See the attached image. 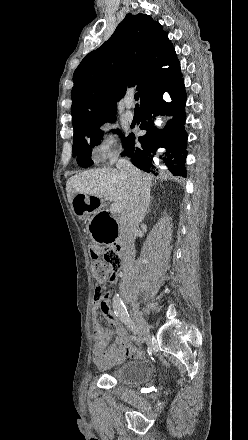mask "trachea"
Masks as SVG:
<instances>
[{
  "mask_svg": "<svg viewBox=\"0 0 248 440\" xmlns=\"http://www.w3.org/2000/svg\"><path fill=\"white\" fill-rule=\"evenodd\" d=\"M134 99H135L136 101L139 100V95H138V93H136V94L134 95ZM136 108H138V104H136Z\"/></svg>",
  "mask_w": 248,
  "mask_h": 440,
  "instance_id": "3493384b",
  "label": "trachea"
}]
</instances>
